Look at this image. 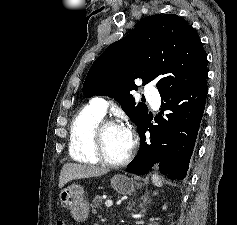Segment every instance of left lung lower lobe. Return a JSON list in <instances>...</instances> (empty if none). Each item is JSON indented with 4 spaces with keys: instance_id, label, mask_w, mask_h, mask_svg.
<instances>
[{
    "instance_id": "0a47b994",
    "label": "left lung lower lobe",
    "mask_w": 237,
    "mask_h": 225,
    "mask_svg": "<svg viewBox=\"0 0 237 225\" xmlns=\"http://www.w3.org/2000/svg\"><path fill=\"white\" fill-rule=\"evenodd\" d=\"M205 76L198 84L184 85L174 91L161 93V108L166 115L149 114L138 128L140 150L127 171L144 174L155 162L159 170L172 180H182L187 174L195 146L208 92ZM151 133L146 139L145 133Z\"/></svg>"
}]
</instances>
